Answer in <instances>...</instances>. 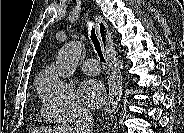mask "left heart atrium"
<instances>
[{
  "label": "left heart atrium",
  "instance_id": "obj_1",
  "mask_svg": "<svg viewBox=\"0 0 184 133\" xmlns=\"http://www.w3.org/2000/svg\"><path fill=\"white\" fill-rule=\"evenodd\" d=\"M79 97L86 105L99 107L106 100V91L99 81L87 79L79 86Z\"/></svg>",
  "mask_w": 184,
  "mask_h": 133
}]
</instances>
